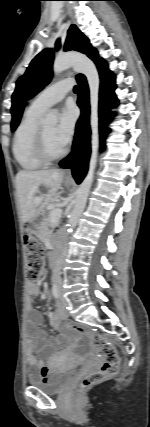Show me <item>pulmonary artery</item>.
<instances>
[{
	"label": "pulmonary artery",
	"mask_w": 150,
	"mask_h": 427,
	"mask_svg": "<svg viewBox=\"0 0 150 427\" xmlns=\"http://www.w3.org/2000/svg\"><path fill=\"white\" fill-rule=\"evenodd\" d=\"M71 79L61 80L43 90L32 102V107L39 111H46L53 105L64 99L67 92L72 88Z\"/></svg>",
	"instance_id": "obj_1"
}]
</instances>
